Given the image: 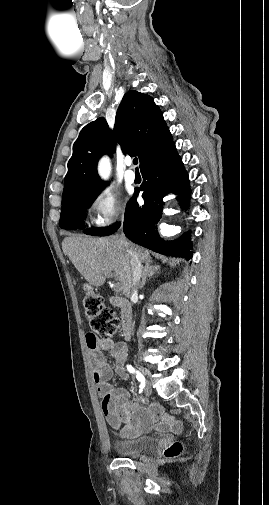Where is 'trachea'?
<instances>
[{"mask_svg": "<svg viewBox=\"0 0 269 505\" xmlns=\"http://www.w3.org/2000/svg\"><path fill=\"white\" fill-rule=\"evenodd\" d=\"M133 164H134V165H137V164H138V159H137V158H134V159H133Z\"/></svg>", "mask_w": 269, "mask_h": 505, "instance_id": "obj_1", "label": "trachea"}]
</instances>
